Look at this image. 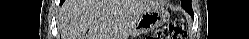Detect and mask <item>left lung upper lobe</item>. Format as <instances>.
<instances>
[{
	"mask_svg": "<svg viewBox=\"0 0 249 39\" xmlns=\"http://www.w3.org/2000/svg\"><path fill=\"white\" fill-rule=\"evenodd\" d=\"M181 4L183 5V7L185 8V10L188 13H191L192 8H191V0H182Z\"/></svg>",
	"mask_w": 249,
	"mask_h": 39,
	"instance_id": "5c2ea615",
	"label": "left lung upper lobe"
}]
</instances>
